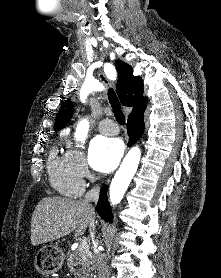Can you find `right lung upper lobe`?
<instances>
[{
	"mask_svg": "<svg viewBox=\"0 0 221 278\" xmlns=\"http://www.w3.org/2000/svg\"><path fill=\"white\" fill-rule=\"evenodd\" d=\"M115 65L119 77L116 86L118 97L124 106L134 107L128 119L143 117L147 98L143 97L142 78L134 76L132 67L121 60H116ZM72 116L73 103L68 99L57 114L54 130L63 128Z\"/></svg>",
	"mask_w": 221,
	"mask_h": 278,
	"instance_id": "1",
	"label": "right lung upper lobe"
}]
</instances>
